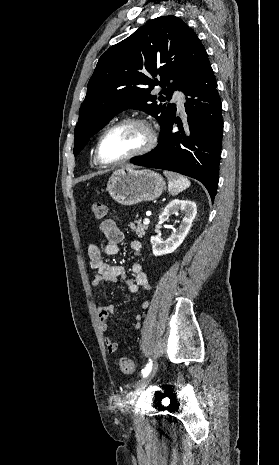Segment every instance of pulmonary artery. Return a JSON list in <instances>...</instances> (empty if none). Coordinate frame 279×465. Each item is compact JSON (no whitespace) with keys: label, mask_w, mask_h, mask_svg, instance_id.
Returning a JSON list of instances; mask_svg holds the SVG:
<instances>
[{"label":"pulmonary artery","mask_w":279,"mask_h":465,"mask_svg":"<svg viewBox=\"0 0 279 465\" xmlns=\"http://www.w3.org/2000/svg\"><path fill=\"white\" fill-rule=\"evenodd\" d=\"M173 101L176 102L179 111L184 112V98L182 94L176 92L173 96Z\"/></svg>","instance_id":"pulmonary-artery-1"}]
</instances>
